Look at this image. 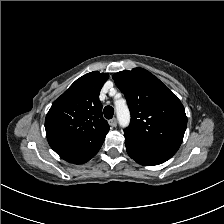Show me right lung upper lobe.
I'll return each instance as SVG.
<instances>
[{"mask_svg": "<svg viewBox=\"0 0 224 224\" xmlns=\"http://www.w3.org/2000/svg\"><path fill=\"white\" fill-rule=\"evenodd\" d=\"M107 73L90 72L54 101L45 119L46 135L69 136L88 146L103 143L109 125L103 118L100 90Z\"/></svg>", "mask_w": 224, "mask_h": 224, "instance_id": "cb5924a9", "label": "right lung upper lobe"}]
</instances>
